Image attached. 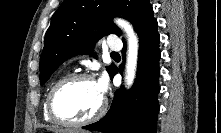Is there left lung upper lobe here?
Returning <instances> with one entry per match:
<instances>
[{"label":"left lung upper lobe","instance_id":"left-lung-upper-lobe-1","mask_svg":"<svg viewBox=\"0 0 221 133\" xmlns=\"http://www.w3.org/2000/svg\"><path fill=\"white\" fill-rule=\"evenodd\" d=\"M114 16L130 21L137 33L155 20L149 0H65L45 34L40 80L45 83L68 58L93 53L94 44L103 36H120V29L112 22ZM114 67H107L109 74Z\"/></svg>","mask_w":221,"mask_h":133}]
</instances>
